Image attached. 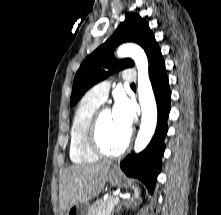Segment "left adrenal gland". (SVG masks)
Here are the masks:
<instances>
[{"label":"left adrenal gland","mask_w":221,"mask_h":215,"mask_svg":"<svg viewBox=\"0 0 221 215\" xmlns=\"http://www.w3.org/2000/svg\"><path fill=\"white\" fill-rule=\"evenodd\" d=\"M133 204H134V197L123 199L122 202H120L118 204L116 212H120V210H122L123 206H126L127 208H129ZM135 204H136V202H135Z\"/></svg>","instance_id":"obj_1"}]
</instances>
